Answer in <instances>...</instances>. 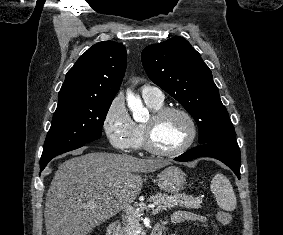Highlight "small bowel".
<instances>
[{"mask_svg": "<svg viewBox=\"0 0 283 235\" xmlns=\"http://www.w3.org/2000/svg\"><path fill=\"white\" fill-rule=\"evenodd\" d=\"M172 221L173 223H183V222H189V221L202 222L204 221V218L202 216L196 215L191 212L179 211L173 215Z\"/></svg>", "mask_w": 283, "mask_h": 235, "instance_id": "small-bowel-1", "label": "small bowel"}]
</instances>
